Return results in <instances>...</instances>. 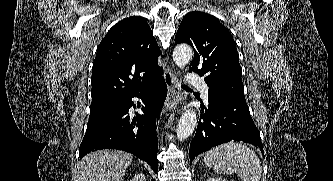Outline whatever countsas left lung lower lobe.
<instances>
[{"label": "left lung lower lobe", "mask_w": 333, "mask_h": 181, "mask_svg": "<svg viewBox=\"0 0 333 181\" xmlns=\"http://www.w3.org/2000/svg\"><path fill=\"white\" fill-rule=\"evenodd\" d=\"M209 109H202L194 139L190 144V161L202 152L229 141L253 144L263 152L259 130L249 109L227 101L218 91L209 87Z\"/></svg>", "instance_id": "1"}]
</instances>
